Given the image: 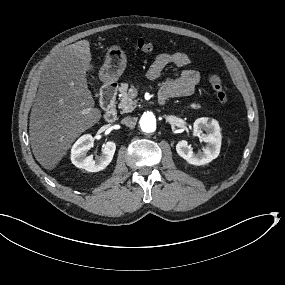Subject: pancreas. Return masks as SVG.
Wrapping results in <instances>:
<instances>
[{
	"label": "pancreas",
	"instance_id": "pancreas-1",
	"mask_svg": "<svg viewBox=\"0 0 285 285\" xmlns=\"http://www.w3.org/2000/svg\"><path fill=\"white\" fill-rule=\"evenodd\" d=\"M137 105L136 100H132L127 93H124L121 96V104L120 107L122 108L123 112H132ZM193 109H199L201 106L200 104H191Z\"/></svg>",
	"mask_w": 285,
	"mask_h": 285
}]
</instances>
